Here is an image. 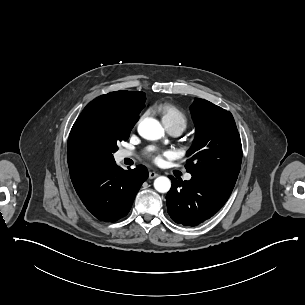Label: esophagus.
<instances>
[{"instance_id":"obj_1","label":"esophagus","mask_w":305,"mask_h":305,"mask_svg":"<svg viewBox=\"0 0 305 305\" xmlns=\"http://www.w3.org/2000/svg\"><path fill=\"white\" fill-rule=\"evenodd\" d=\"M157 176H158L157 173H155V172H153V171L149 172V179H154V178L157 177Z\"/></svg>"}]
</instances>
